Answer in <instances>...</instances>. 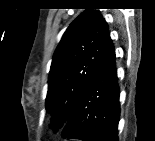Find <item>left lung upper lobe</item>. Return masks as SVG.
I'll use <instances>...</instances> for the list:
<instances>
[{
  "mask_svg": "<svg viewBox=\"0 0 155 141\" xmlns=\"http://www.w3.org/2000/svg\"><path fill=\"white\" fill-rule=\"evenodd\" d=\"M110 42L108 24L99 11L86 9L69 25L50 68L45 108L52 124L71 116Z\"/></svg>",
  "mask_w": 155,
  "mask_h": 141,
  "instance_id": "left-lung-upper-lobe-1",
  "label": "left lung upper lobe"
}]
</instances>
